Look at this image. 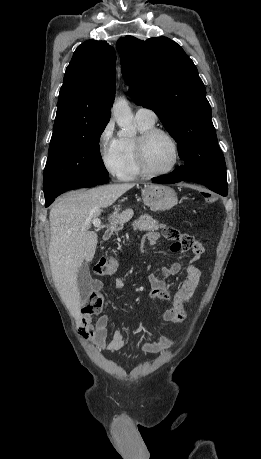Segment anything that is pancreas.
Listing matches in <instances>:
<instances>
[{
    "label": "pancreas",
    "instance_id": "cf45deb5",
    "mask_svg": "<svg viewBox=\"0 0 261 459\" xmlns=\"http://www.w3.org/2000/svg\"><path fill=\"white\" fill-rule=\"evenodd\" d=\"M134 230L140 231H157L163 227L159 222L153 219L150 215H142L133 222Z\"/></svg>",
    "mask_w": 261,
    "mask_h": 459
}]
</instances>
